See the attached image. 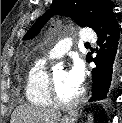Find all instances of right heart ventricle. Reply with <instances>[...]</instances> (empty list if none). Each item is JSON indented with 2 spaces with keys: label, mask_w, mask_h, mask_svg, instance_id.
Segmentation results:
<instances>
[{
  "label": "right heart ventricle",
  "mask_w": 122,
  "mask_h": 123,
  "mask_svg": "<svg viewBox=\"0 0 122 123\" xmlns=\"http://www.w3.org/2000/svg\"><path fill=\"white\" fill-rule=\"evenodd\" d=\"M48 80L47 59L37 60L29 69L25 82V96L31 104L41 107L53 104L48 93Z\"/></svg>",
  "instance_id": "e07e8e85"
}]
</instances>
